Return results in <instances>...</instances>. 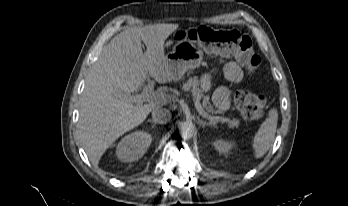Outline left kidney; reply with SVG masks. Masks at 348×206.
I'll list each match as a JSON object with an SVG mask.
<instances>
[{
    "label": "left kidney",
    "mask_w": 348,
    "mask_h": 206,
    "mask_svg": "<svg viewBox=\"0 0 348 206\" xmlns=\"http://www.w3.org/2000/svg\"><path fill=\"white\" fill-rule=\"evenodd\" d=\"M214 148L219 152V153H228L234 146L235 144L233 142L225 141L223 139L216 140L214 143Z\"/></svg>",
    "instance_id": "left-kidney-1"
}]
</instances>
